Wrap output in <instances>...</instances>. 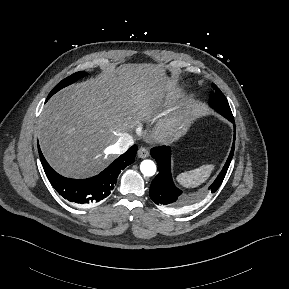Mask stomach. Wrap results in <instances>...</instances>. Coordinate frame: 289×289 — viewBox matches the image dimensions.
<instances>
[{"instance_id":"0dacf381","label":"stomach","mask_w":289,"mask_h":289,"mask_svg":"<svg viewBox=\"0 0 289 289\" xmlns=\"http://www.w3.org/2000/svg\"><path fill=\"white\" fill-rule=\"evenodd\" d=\"M160 71H161L163 74H165V72H166V70H165L164 67H160Z\"/></svg>"}]
</instances>
